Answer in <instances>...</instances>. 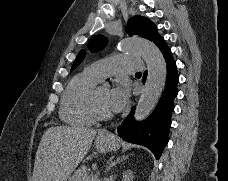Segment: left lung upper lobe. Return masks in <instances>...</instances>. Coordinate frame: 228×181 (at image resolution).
Masks as SVG:
<instances>
[{
  "instance_id": "obj_1",
  "label": "left lung upper lobe",
  "mask_w": 228,
  "mask_h": 181,
  "mask_svg": "<svg viewBox=\"0 0 228 181\" xmlns=\"http://www.w3.org/2000/svg\"><path fill=\"white\" fill-rule=\"evenodd\" d=\"M126 32L128 35H139L146 38L155 44L162 39L158 34L156 26L148 19L142 16H134L129 19ZM107 43V39L102 35H96L90 39L88 42V48L91 52H97L104 48ZM85 56V51L81 50L77 55L71 70L75 69L83 60Z\"/></svg>"
}]
</instances>
